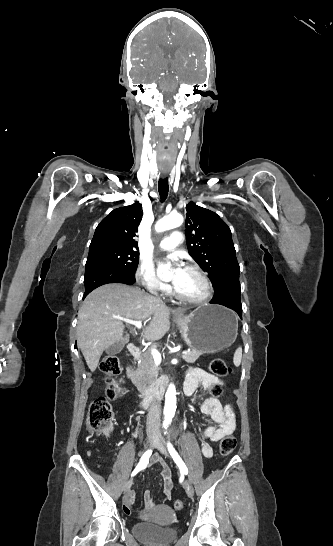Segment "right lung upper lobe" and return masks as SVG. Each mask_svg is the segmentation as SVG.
<instances>
[{"instance_id":"cb5924a9","label":"right lung upper lobe","mask_w":333,"mask_h":546,"mask_svg":"<svg viewBox=\"0 0 333 546\" xmlns=\"http://www.w3.org/2000/svg\"><path fill=\"white\" fill-rule=\"evenodd\" d=\"M142 205L136 202L113 210L97 226L89 251L105 247L138 250V226L142 219Z\"/></svg>"}]
</instances>
